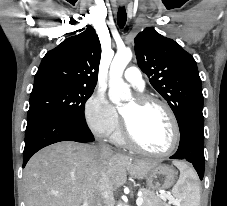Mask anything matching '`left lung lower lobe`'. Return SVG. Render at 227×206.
<instances>
[{"label": "left lung lower lobe", "mask_w": 227, "mask_h": 206, "mask_svg": "<svg viewBox=\"0 0 227 206\" xmlns=\"http://www.w3.org/2000/svg\"><path fill=\"white\" fill-rule=\"evenodd\" d=\"M204 124L197 121L189 122L180 131V144L177 152L171 156L172 159H186L192 163L199 178L204 176Z\"/></svg>", "instance_id": "obj_1"}]
</instances>
